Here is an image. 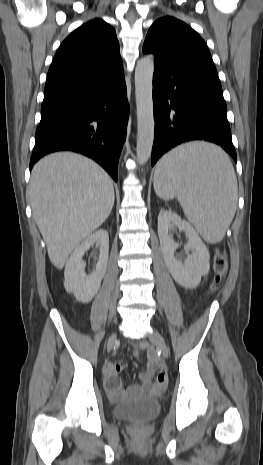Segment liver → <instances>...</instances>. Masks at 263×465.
Returning a JSON list of instances; mask_svg holds the SVG:
<instances>
[{
    "instance_id": "obj_1",
    "label": "liver",
    "mask_w": 263,
    "mask_h": 465,
    "mask_svg": "<svg viewBox=\"0 0 263 465\" xmlns=\"http://www.w3.org/2000/svg\"><path fill=\"white\" fill-rule=\"evenodd\" d=\"M29 195L49 259L58 269L80 242L105 222L115 199L105 170L72 152L53 153L36 163Z\"/></svg>"
}]
</instances>
